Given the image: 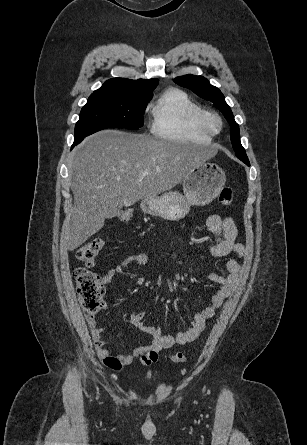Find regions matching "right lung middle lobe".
Instances as JSON below:
<instances>
[{"label":"right lung middle lobe","mask_w":307,"mask_h":445,"mask_svg":"<svg viewBox=\"0 0 307 445\" xmlns=\"http://www.w3.org/2000/svg\"><path fill=\"white\" fill-rule=\"evenodd\" d=\"M150 100L151 98L140 99L113 95L90 96L76 123L75 139H83L110 127L131 129L142 127L143 113Z\"/></svg>","instance_id":"right-lung-middle-lobe-1"}]
</instances>
